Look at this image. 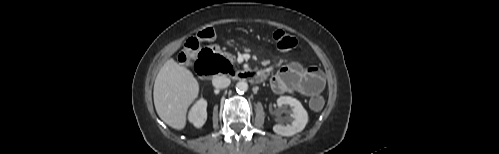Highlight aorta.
<instances>
[{"instance_id": "1", "label": "aorta", "mask_w": 499, "mask_h": 154, "mask_svg": "<svg viewBox=\"0 0 499 154\" xmlns=\"http://www.w3.org/2000/svg\"><path fill=\"white\" fill-rule=\"evenodd\" d=\"M248 90V84L246 81L242 80V81H239L237 84H236V91L240 94L246 92Z\"/></svg>"}]
</instances>
